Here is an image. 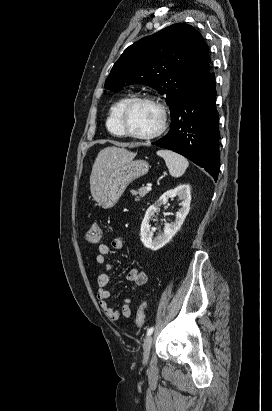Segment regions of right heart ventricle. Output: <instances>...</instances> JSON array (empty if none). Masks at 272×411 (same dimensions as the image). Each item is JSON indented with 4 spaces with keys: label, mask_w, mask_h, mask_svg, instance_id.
<instances>
[{
    "label": "right heart ventricle",
    "mask_w": 272,
    "mask_h": 411,
    "mask_svg": "<svg viewBox=\"0 0 272 411\" xmlns=\"http://www.w3.org/2000/svg\"><path fill=\"white\" fill-rule=\"evenodd\" d=\"M130 98L129 95H125L120 97L118 100H116L110 107L108 111V115L106 118V128L107 130L115 136L122 137V131L119 126V113L123 105L126 103V101Z\"/></svg>",
    "instance_id": "1"
}]
</instances>
